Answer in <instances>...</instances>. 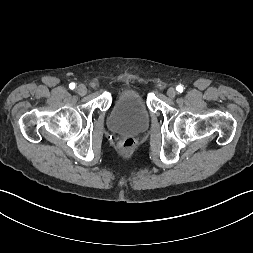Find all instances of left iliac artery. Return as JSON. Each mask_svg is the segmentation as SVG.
I'll return each instance as SVG.
<instances>
[{"label":"left iliac artery","mask_w":253,"mask_h":253,"mask_svg":"<svg viewBox=\"0 0 253 253\" xmlns=\"http://www.w3.org/2000/svg\"><path fill=\"white\" fill-rule=\"evenodd\" d=\"M176 90L179 92V93H182L183 92V86L182 85H178L176 87Z\"/></svg>","instance_id":"1"}]
</instances>
